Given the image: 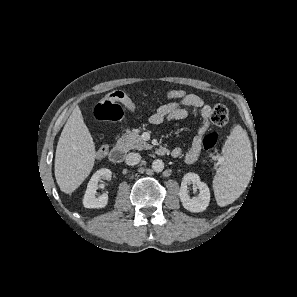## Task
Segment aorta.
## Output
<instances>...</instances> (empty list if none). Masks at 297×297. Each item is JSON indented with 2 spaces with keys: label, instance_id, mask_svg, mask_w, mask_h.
<instances>
[{
  "label": "aorta",
  "instance_id": "aorta-1",
  "mask_svg": "<svg viewBox=\"0 0 297 297\" xmlns=\"http://www.w3.org/2000/svg\"><path fill=\"white\" fill-rule=\"evenodd\" d=\"M152 169L155 171V172H162L163 169H164V163L162 160L160 159H156L152 162Z\"/></svg>",
  "mask_w": 297,
  "mask_h": 297
}]
</instances>
